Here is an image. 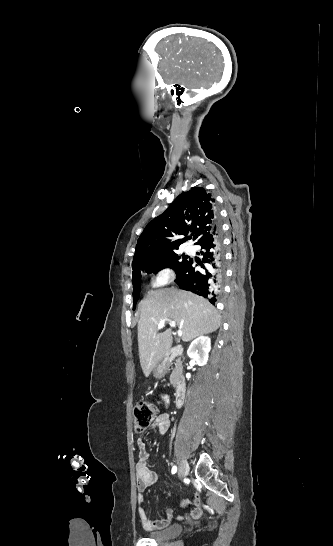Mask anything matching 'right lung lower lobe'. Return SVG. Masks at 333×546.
Returning <instances> with one entry per match:
<instances>
[{"label":"right lung lower lobe","mask_w":333,"mask_h":546,"mask_svg":"<svg viewBox=\"0 0 333 546\" xmlns=\"http://www.w3.org/2000/svg\"><path fill=\"white\" fill-rule=\"evenodd\" d=\"M196 245L204 249L201 251L202 262L197 261L203 269L196 270V262L191 258L188 259L177 272L176 283L181 289L201 295L214 304L224 276V252L218 227L215 226L212 231L197 241Z\"/></svg>","instance_id":"98d812e1"}]
</instances>
